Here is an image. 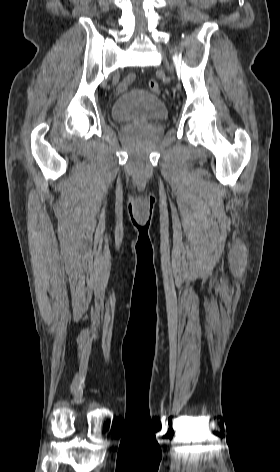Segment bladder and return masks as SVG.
<instances>
[{"label": "bladder", "instance_id": "bladder-1", "mask_svg": "<svg viewBox=\"0 0 280 472\" xmlns=\"http://www.w3.org/2000/svg\"><path fill=\"white\" fill-rule=\"evenodd\" d=\"M111 113L118 122L156 123L167 118V111L161 100L141 89L122 94L114 102Z\"/></svg>", "mask_w": 280, "mask_h": 472}]
</instances>
